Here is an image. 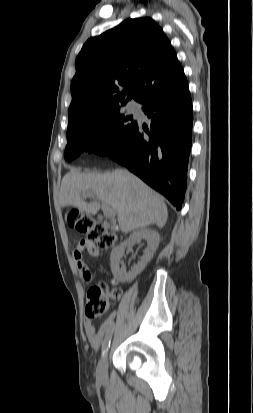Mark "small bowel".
Returning <instances> with one entry per match:
<instances>
[{"label": "small bowel", "instance_id": "small-bowel-1", "mask_svg": "<svg viewBox=\"0 0 253 413\" xmlns=\"http://www.w3.org/2000/svg\"><path fill=\"white\" fill-rule=\"evenodd\" d=\"M85 250L93 257H98L100 253L99 249L87 240L80 241L73 252V259L75 261L78 271L86 281H89L91 279V273L83 259V252ZM115 318L116 312H112L101 323L98 329L95 327L92 318L86 317L84 319L85 334L93 349H98L101 346V344H103V339L110 331V329L114 327Z\"/></svg>", "mask_w": 253, "mask_h": 413}]
</instances>
